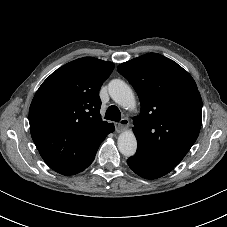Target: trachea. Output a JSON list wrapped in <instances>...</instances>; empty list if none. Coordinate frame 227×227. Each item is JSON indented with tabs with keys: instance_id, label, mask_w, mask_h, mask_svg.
Returning a JSON list of instances; mask_svg holds the SVG:
<instances>
[{
	"instance_id": "obj_1",
	"label": "trachea",
	"mask_w": 227,
	"mask_h": 227,
	"mask_svg": "<svg viewBox=\"0 0 227 227\" xmlns=\"http://www.w3.org/2000/svg\"><path fill=\"white\" fill-rule=\"evenodd\" d=\"M105 119L119 122L121 119V112L118 107L115 105H111L106 111Z\"/></svg>"
}]
</instances>
